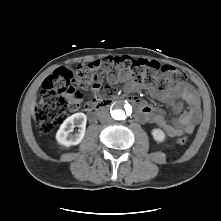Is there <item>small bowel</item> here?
I'll return each instance as SVG.
<instances>
[{"label": "small bowel", "instance_id": "c3829d8e", "mask_svg": "<svg viewBox=\"0 0 221 221\" xmlns=\"http://www.w3.org/2000/svg\"><path fill=\"white\" fill-rule=\"evenodd\" d=\"M106 72L107 81L111 85L124 83L127 91H133L139 86V84L134 82L121 68L117 71L106 68ZM147 90L151 97L167 104L176 117L172 120H168L160 108L143 101H137V119L140 122L156 124L170 137H177L186 133L190 134L194 131L201 118V104L196 92L188 83L183 82L165 89L149 86ZM92 93L93 98L86 104L87 107L92 106L100 100V85L94 86ZM80 103L81 101L79 99L74 100V108H78ZM183 104L187 105L185 111H183Z\"/></svg>", "mask_w": 221, "mask_h": 221}]
</instances>
